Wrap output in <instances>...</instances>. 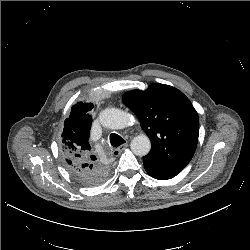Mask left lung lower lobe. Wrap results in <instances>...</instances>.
I'll use <instances>...</instances> for the list:
<instances>
[{"label":"left lung lower lobe","instance_id":"left-lung-lower-lobe-1","mask_svg":"<svg viewBox=\"0 0 250 250\" xmlns=\"http://www.w3.org/2000/svg\"><path fill=\"white\" fill-rule=\"evenodd\" d=\"M144 168L153 178L167 180L176 176L183 168L159 164L148 157H143Z\"/></svg>","mask_w":250,"mask_h":250}]
</instances>
